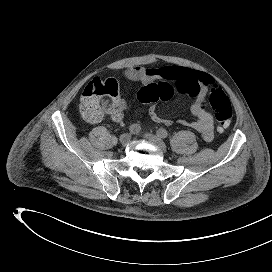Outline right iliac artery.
<instances>
[{"label":"right iliac artery","mask_w":272,"mask_h":272,"mask_svg":"<svg viewBox=\"0 0 272 272\" xmlns=\"http://www.w3.org/2000/svg\"><path fill=\"white\" fill-rule=\"evenodd\" d=\"M141 130V127L139 124H132L130 127H129V131L131 134H137L139 133Z\"/></svg>","instance_id":"obj_1"}]
</instances>
